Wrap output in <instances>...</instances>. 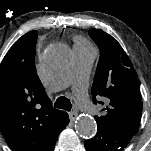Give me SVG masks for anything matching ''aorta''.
<instances>
[{
	"mask_svg": "<svg viewBox=\"0 0 151 151\" xmlns=\"http://www.w3.org/2000/svg\"><path fill=\"white\" fill-rule=\"evenodd\" d=\"M44 57L51 67L58 68L68 64L72 55L67 46L59 44L50 46ZM76 129L81 136L88 138L96 133L97 124L92 117L81 116L76 122Z\"/></svg>",
	"mask_w": 151,
	"mask_h": 151,
	"instance_id": "obj_1",
	"label": "aorta"
}]
</instances>
